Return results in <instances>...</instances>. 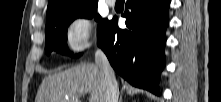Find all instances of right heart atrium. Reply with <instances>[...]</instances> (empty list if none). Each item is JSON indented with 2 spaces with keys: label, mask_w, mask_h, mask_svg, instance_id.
Returning a JSON list of instances; mask_svg holds the SVG:
<instances>
[{
  "label": "right heart atrium",
  "mask_w": 221,
  "mask_h": 102,
  "mask_svg": "<svg viewBox=\"0 0 221 102\" xmlns=\"http://www.w3.org/2000/svg\"><path fill=\"white\" fill-rule=\"evenodd\" d=\"M66 40L74 53L82 54L87 51L95 40L94 19L86 13L74 15L67 26Z\"/></svg>",
  "instance_id": "1"
}]
</instances>
